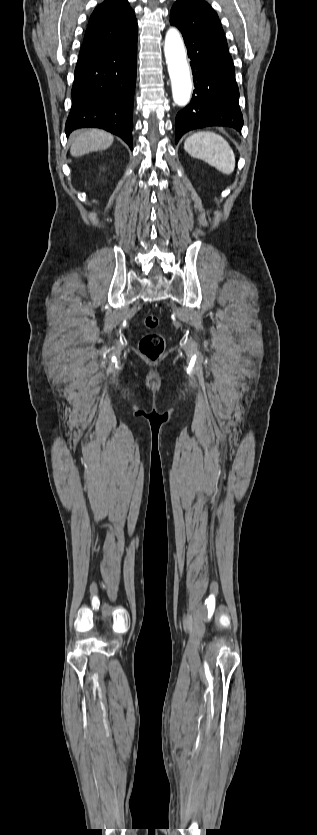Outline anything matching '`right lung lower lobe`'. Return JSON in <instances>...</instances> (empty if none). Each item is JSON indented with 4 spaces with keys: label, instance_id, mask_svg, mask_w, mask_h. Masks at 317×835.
<instances>
[{
    "label": "right lung lower lobe",
    "instance_id": "1",
    "mask_svg": "<svg viewBox=\"0 0 317 835\" xmlns=\"http://www.w3.org/2000/svg\"><path fill=\"white\" fill-rule=\"evenodd\" d=\"M137 34L117 44L83 43L74 73L68 136L84 127L105 129L132 149Z\"/></svg>",
    "mask_w": 317,
    "mask_h": 835
}]
</instances>
